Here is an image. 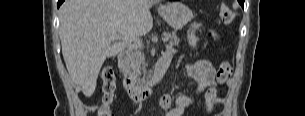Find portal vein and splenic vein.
<instances>
[{
  "label": "portal vein and splenic vein",
  "mask_w": 305,
  "mask_h": 116,
  "mask_svg": "<svg viewBox=\"0 0 305 116\" xmlns=\"http://www.w3.org/2000/svg\"><path fill=\"white\" fill-rule=\"evenodd\" d=\"M110 37L113 38V39H122V37L119 36V35H110ZM168 40H169V37H168V36H165V37L163 38V41H164V42H167ZM129 46H130V47H134V48H141L143 45H142V42H138V43H136L135 45H131V43H130Z\"/></svg>",
  "instance_id": "obj_1"
}]
</instances>
